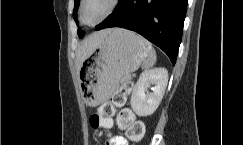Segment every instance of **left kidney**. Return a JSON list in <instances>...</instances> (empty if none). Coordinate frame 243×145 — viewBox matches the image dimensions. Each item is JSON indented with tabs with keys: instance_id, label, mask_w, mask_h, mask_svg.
Listing matches in <instances>:
<instances>
[{
	"instance_id": "left-kidney-1",
	"label": "left kidney",
	"mask_w": 243,
	"mask_h": 145,
	"mask_svg": "<svg viewBox=\"0 0 243 145\" xmlns=\"http://www.w3.org/2000/svg\"><path fill=\"white\" fill-rule=\"evenodd\" d=\"M167 83L168 71L165 68L141 73L131 95L130 104L133 111L142 117L152 115L163 98ZM148 88H151L152 92H149Z\"/></svg>"
}]
</instances>
